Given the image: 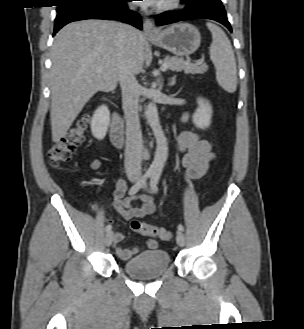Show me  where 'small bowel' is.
<instances>
[{
    "instance_id": "small-bowel-1",
    "label": "small bowel",
    "mask_w": 304,
    "mask_h": 329,
    "mask_svg": "<svg viewBox=\"0 0 304 329\" xmlns=\"http://www.w3.org/2000/svg\"><path fill=\"white\" fill-rule=\"evenodd\" d=\"M189 115L185 114L183 120L186 121ZM177 149L182 154V166L186 170L188 176L193 179H200L205 176L208 166L214 160L213 144L202 137V135L193 131H185L178 137ZM100 162L97 159L91 161V167L97 169ZM126 190L125 180L119 179L116 190V200L114 207L117 214L125 220L132 218H141L155 212V203L152 196H134L130 198H122ZM139 202L138 206H133V202ZM125 236L117 232L114 235V248L121 259L127 260L136 255L139 247L126 248L122 245ZM158 243L154 239L145 242L148 249L157 248Z\"/></svg>"
}]
</instances>
